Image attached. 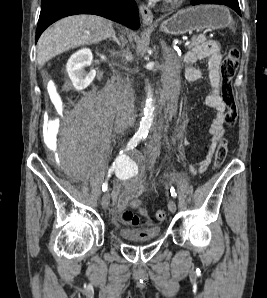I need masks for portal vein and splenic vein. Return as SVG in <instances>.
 Returning a JSON list of instances; mask_svg holds the SVG:
<instances>
[{
  "label": "portal vein and splenic vein",
  "mask_w": 267,
  "mask_h": 298,
  "mask_svg": "<svg viewBox=\"0 0 267 298\" xmlns=\"http://www.w3.org/2000/svg\"><path fill=\"white\" fill-rule=\"evenodd\" d=\"M190 41H187V42H185V44H184V46L186 47V46H189L190 45Z\"/></svg>",
  "instance_id": "1"
}]
</instances>
